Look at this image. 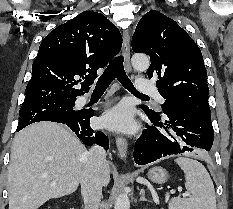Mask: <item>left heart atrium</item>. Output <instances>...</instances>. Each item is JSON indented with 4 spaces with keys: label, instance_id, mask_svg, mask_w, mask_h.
<instances>
[{
    "label": "left heart atrium",
    "instance_id": "39dd6f15",
    "mask_svg": "<svg viewBox=\"0 0 233 209\" xmlns=\"http://www.w3.org/2000/svg\"><path fill=\"white\" fill-rule=\"evenodd\" d=\"M101 122L108 128L120 131H131L135 126L132 110L125 104H120L107 112Z\"/></svg>",
    "mask_w": 233,
    "mask_h": 209
}]
</instances>
